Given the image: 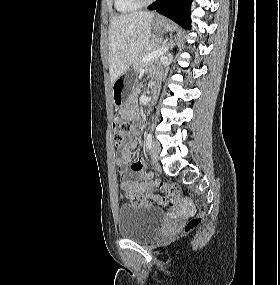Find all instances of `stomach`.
I'll return each mask as SVG.
<instances>
[{"label":"stomach","mask_w":280,"mask_h":285,"mask_svg":"<svg viewBox=\"0 0 280 285\" xmlns=\"http://www.w3.org/2000/svg\"><path fill=\"white\" fill-rule=\"evenodd\" d=\"M170 28V23L167 22L165 19H157L153 25V30L156 33H165L169 31ZM131 82V75L130 73L126 72L113 83V102L115 106H122L127 102V90Z\"/></svg>","instance_id":"obj_1"}]
</instances>
